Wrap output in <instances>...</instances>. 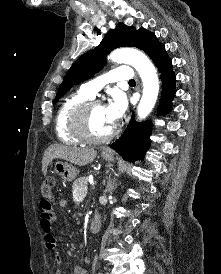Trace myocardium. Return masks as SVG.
<instances>
[{
  "instance_id": "obj_1",
  "label": "myocardium",
  "mask_w": 221,
  "mask_h": 274,
  "mask_svg": "<svg viewBox=\"0 0 221 274\" xmlns=\"http://www.w3.org/2000/svg\"><path fill=\"white\" fill-rule=\"evenodd\" d=\"M104 105L100 99H90L78 105L73 111L71 126L73 132L82 140L89 143H104L109 141L116 134V128L102 136L92 133L89 126L90 113L96 106Z\"/></svg>"
}]
</instances>
